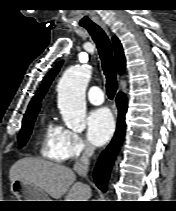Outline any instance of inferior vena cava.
I'll use <instances>...</instances> for the list:
<instances>
[{"label":"inferior vena cava","mask_w":176,"mask_h":211,"mask_svg":"<svg viewBox=\"0 0 176 211\" xmlns=\"http://www.w3.org/2000/svg\"><path fill=\"white\" fill-rule=\"evenodd\" d=\"M94 150L95 148L92 145L86 144L81 158L77 160L74 164V171L82 177H85L87 175L89 158L93 155Z\"/></svg>","instance_id":"602c4592"}]
</instances>
